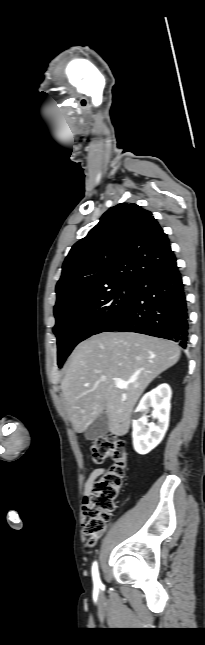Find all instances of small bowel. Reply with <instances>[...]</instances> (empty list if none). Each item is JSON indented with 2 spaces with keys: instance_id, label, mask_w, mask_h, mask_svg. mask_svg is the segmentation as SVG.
<instances>
[{
  "instance_id": "1",
  "label": "small bowel",
  "mask_w": 205,
  "mask_h": 645,
  "mask_svg": "<svg viewBox=\"0 0 205 645\" xmlns=\"http://www.w3.org/2000/svg\"><path fill=\"white\" fill-rule=\"evenodd\" d=\"M104 472H105V470L103 468H95V469L92 470V472L90 473V475H89V477L86 480L85 485H84V496H85V498H87L90 495L96 480L101 475H103Z\"/></svg>"
}]
</instances>
